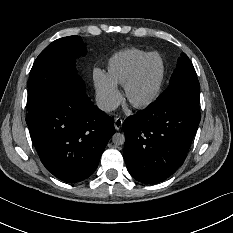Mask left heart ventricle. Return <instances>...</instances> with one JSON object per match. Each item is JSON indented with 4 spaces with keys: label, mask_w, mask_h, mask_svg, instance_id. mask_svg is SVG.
Returning <instances> with one entry per match:
<instances>
[{
    "label": "left heart ventricle",
    "mask_w": 233,
    "mask_h": 233,
    "mask_svg": "<svg viewBox=\"0 0 233 233\" xmlns=\"http://www.w3.org/2000/svg\"><path fill=\"white\" fill-rule=\"evenodd\" d=\"M164 72V62L154 56L130 90V97L135 102H146L156 93Z\"/></svg>",
    "instance_id": "left-heart-ventricle-1"
}]
</instances>
